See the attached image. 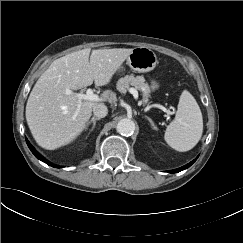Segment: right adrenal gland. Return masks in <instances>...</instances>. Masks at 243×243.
I'll use <instances>...</instances> for the list:
<instances>
[{
    "instance_id": "1",
    "label": "right adrenal gland",
    "mask_w": 243,
    "mask_h": 243,
    "mask_svg": "<svg viewBox=\"0 0 243 243\" xmlns=\"http://www.w3.org/2000/svg\"><path fill=\"white\" fill-rule=\"evenodd\" d=\"M97 120H100V118H95V117H93L90 121L87 122V124H86V126H85V129H88V126L92 123V128H91V130H90V132H92L93 129L95 128V125H96V121H97ZM90 132H89V133H90Z\"/></svg>"
}]
</instances>
